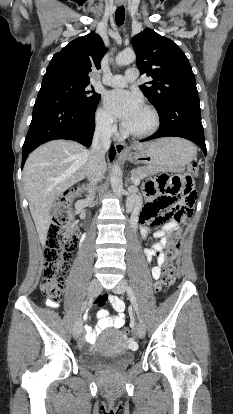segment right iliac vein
Wrapping results in <instances>:
<instances>
[{"label":"right iliac vein","mask_w":233,"mask_h":414,"mask_svg":"<svg viewBox=\"0 0 233 414\" xmlns=\"http://www.w3.org/2000/svg\"><path fill=\"white\" fill-rule=\"evenodd\" d=\"M101 290V286L100 283L97 279H93L90 284H89V288H88V296L89 297H94L96 296ZM82 330V321L81 318H78L74 325H73V337L76 339L79 337L80 333Z\"/></svg>","instance_id":"right-iliac-vein-1"}]
</instances>
